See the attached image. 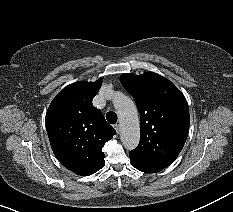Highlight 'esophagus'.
I'll return each mask as SVG.
<instances>
[{"label": "esophagus", "instance_id": "obj_1", "mask_svg": "<svg viewBox=\"0 0 233 212\" xmlns=\"http://www.w3.org/2000/svg\"><path fill=\"white\" fill-rule=\"evenodd\" d=\"M114 129L116 130V132H117V133H119V131H120V127H119V125H118V124H115V125H114Z\"/></svg>", "mask_w": 233, "mask_h": 212}]
</instances>
